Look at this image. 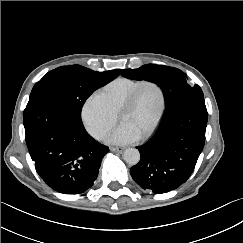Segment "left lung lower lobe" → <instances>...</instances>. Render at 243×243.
<instances>
[{
  "label": "left lung lower lobe",
  "instance_id": "obj_1",
  "mask_svg": "<svg viewBox=\"0 0 243 243\" xmlns=\"http://www.w3.org/2000/svg\"><path fill=\"white\" fill-rule=\"evenodd\" d=\"M207 119L203 97L191 99L167 115L153 138L137 147L141 158L130 170L134 181L156 194L186 182L203 150Z\"/></svg>",
  "mask_w": 243,
  "mask_h": 243
}]
</instances>
